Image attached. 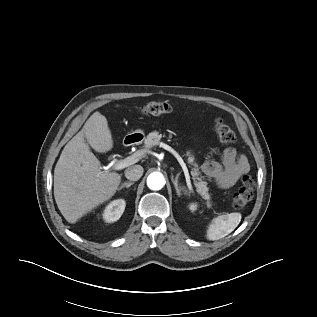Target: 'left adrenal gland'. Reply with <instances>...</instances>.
Instances as JSON below:
<instances>
[{"mask_svg": "<svg viewBox=\"0 0 317 317\" xmlns=\"http://www.w3.org/2000/svg\"><path fill=\"white\" fill-rule=\"evenodd\" d=\"M172 182H173V184H174V187H175V189H176L177 195H178L179 197H181V195H182L181 191L183 192L184 195L190 196V193H191V192L188 191V190H186L185 187H179V186L176 184V182H175V180L173 179V177H172Z\"/></svg>", "mask_w": 317, "mask_h": 317, "instance_id": "obj_1", "label": "left adrenal gland"}]
</instances>
